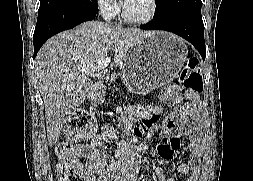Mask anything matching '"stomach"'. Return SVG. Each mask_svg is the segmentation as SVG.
<instances>
[{"label": "stomach", "instance_id": "0dacf381", "mask_svg": "<svg viewBox=\"0 0 253 181\" xmlns=\"http://www.w3.org/2000/svg\"><path fill=\"white\" fill-rule=\"evenodd\" d=\"M188 49L178 36L154 31L130 48L122 65L124 84L146 94L169 84L187 61Z\"/></svg>", "mask_w": 253, "mask_h": 181}]
</instances>
